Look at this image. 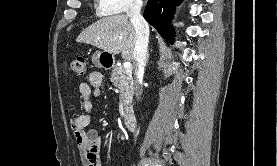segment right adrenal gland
<instances>
[{
    "label": "right adrenal gland",
    "instance_id": "obj_1",
    "mask_svg": "<svg viewBox=\"0 0 277 166\" xmlns=\"http://www.w3.org/2000/svg\"><path fill=\"white\" fill-rule=\"evenodd\" d=\"M148 59H149V54H147V60H146L147 63H148Z\"/></svg>",
    "mask_w": 277,
    "mask_h": 166
}]
</instances>
